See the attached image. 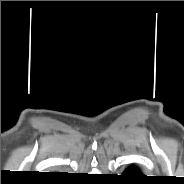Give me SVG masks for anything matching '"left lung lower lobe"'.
I'll list each match as a JSON object with an SVG mask.
<instances>
[{
    "instance_id": "left-lung-lower-lobe-1",
    "label": "left lung lower lobe",
    "mask_w": 184,
    "mask_h": 184,
    "mask_svg": "<svg viewBox=\"0 0 184 184\" xmlns=\"http://www.w3.org/2000/svg\"><path fill=\"white\" fill-rule=\"evenodd\" d=\"M125 176L130 179V180H141L143 178H146L145 175H142L139 171V169L135 167H130L129 169L126 170Z\"/></svg>"
}]
</instances>
